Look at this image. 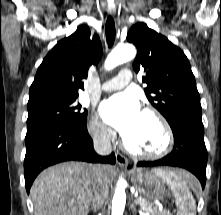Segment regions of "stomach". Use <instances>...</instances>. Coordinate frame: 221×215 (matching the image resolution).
<instances>
[{
    "mask_svg": "<svg viewBox=\"0 0 221 215\" xmlns=\"http://www.w3.org/2000/svg\"><path fill=\"white\" fill-rule=\"evenodd\" d=\"M131 179L135 189L148 201L163 199L168 194L166 182L157 170H134Z\"/></svg>",
    "mask_w": 221,
    "mask_h": 215,
    "instance_id": "1",
    "label": "stomach"
}]
</instances>
